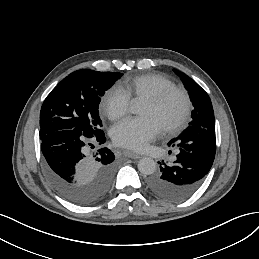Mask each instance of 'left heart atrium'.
<instances>
[{
	"instance_id": "1",
	"label": "left heart atrium",
	"mask_w": 259,
	"mask_h": 259,
	"mask_svg": "<svg viewBox=\"0 0 259 259\" xmlns=\"http://www.w3.org/2000/svg\"><path fill=\"white\" fill-rule=\"evenodd\" d=\"M161 132V126L152 117L126 118L110 129L116 145L135 150L144 149Z\"/></svg>"
}]
</instances>
